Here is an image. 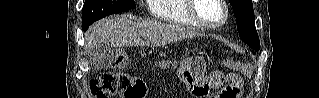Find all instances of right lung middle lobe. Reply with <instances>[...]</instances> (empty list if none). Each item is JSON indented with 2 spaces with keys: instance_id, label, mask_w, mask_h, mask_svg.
Wrapping results in <instances>:
<instances>
[{
  "instance_id": "1",
  "label": "right lung middle lobe",
  "mask_w": 319,
  "mask_h": 98,
  "mask_svg": "<svg viewBox=\"0 0 319 98\" xmlns=\"http://www.w3.org/2000/svg\"><path fill=\"white\" fill-rule=\"evenodd\" d=\"M134 0H85L82 13V27L115 13L135 8Z\"/></svg>"
}]
</instances>
